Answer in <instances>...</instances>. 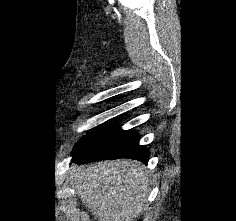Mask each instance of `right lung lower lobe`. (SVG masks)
<instances>
[{
  "instance_id": "1",
  "label": "right lung lower lobe",
  "mask_w": 236,
  "mask_h": 221,
  "mask_svg": "<svg viewBox=\"0 0 236 221\" xmlns=\"http://www.w3.org/2000/svg\"><path fill=\"white\" fill-rule=\"evenodd\" d=\"M136 132L124 131L118 125L103 128L91 136L72 158V162L84 164L96 160L130 158L147 162L148 150L139 145Z\"/></svg>"
}]
</instances>
